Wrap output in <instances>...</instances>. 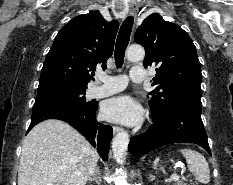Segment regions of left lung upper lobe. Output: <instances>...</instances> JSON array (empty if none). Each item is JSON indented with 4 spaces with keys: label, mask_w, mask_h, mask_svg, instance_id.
<instances>
[{
    "label": "left lung upper lobe",
    "mask_w": 233,
    "mask_h": 185,
    "mask_svg": "<svg viewBox=\"0 0 233 185\" xmlns=\"http://www.w3.org/2000/svg\"><path fill=\"white\" fill-rule=\"evenodd\" d=\"M145 47L144 67L157 66L149 93L152 117H162L172 105L188 95H201V65L189 35L159 14L149 15L134 38Z\"/></svg>",
    "instance_id": "obj_1"
}]
</instances>
